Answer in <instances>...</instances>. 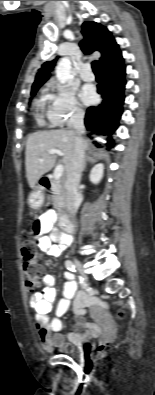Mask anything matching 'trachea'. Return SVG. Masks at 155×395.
I'll return each instance as SVG.
<instances>
[{
	"label": "trachea",
	"mask_w": 155,
	"mask_h": 395,
	"mask_svg": "<svg viewBox=\"0 0 155 395\" xmlns=\"http://www.w3.org/2000/svg\"><path fill=\"white\" fill-rule=\"evenodd\" d=\"M92 69H93V72H95V73H99L100 72L97 61H93L92 62Z\"/></svg>",
	"instance_id": "1"
}]
</instances>
